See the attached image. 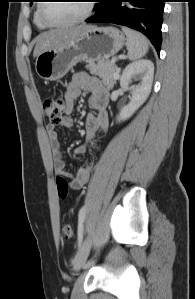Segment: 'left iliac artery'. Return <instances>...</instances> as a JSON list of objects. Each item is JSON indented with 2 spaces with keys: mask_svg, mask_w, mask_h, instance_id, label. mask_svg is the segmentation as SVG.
Masks as SVG:
<instances>
[{
  "mask_svg": "<svg viewBox=\"0 0 195 299\" xmlns=\"http://www.w3.org/2000/svg\"><path fill=\"white\" fill-rule=\"evenodd\" d=\"M85 207H82L79 211V228H78V246H81L83 240V222L85 218Z\"/></svg>",
  "mask_w": 195,
  "mask_h": 299,
  "instance_id": "obj_1",
  "label": "left iliac artery"
}]
</instances>
